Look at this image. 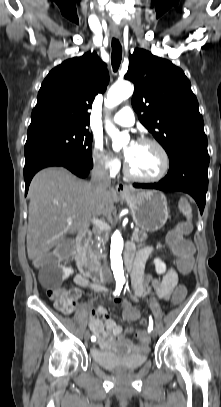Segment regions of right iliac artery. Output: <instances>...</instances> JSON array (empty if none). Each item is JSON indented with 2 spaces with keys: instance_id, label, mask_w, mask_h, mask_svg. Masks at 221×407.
Listing matches in <instances>:
<instances>
[{
  "instance_id": "obj_1",
  "label": "right iliac artery",
  "mask_w": 221,
  "mask_h": 407,
  "mask_svg": "<svg viewBox=\"0 0 221 407\" xmlns=\"http://www.w3.org/2000/svg\"><path fill=\"white\" fill-rule=\"evenodd\" d=\"M122 287H123V283H121V282H117V283H116V289H115V292H114V296L120 294V292H121V290H122ZM91 341L95 342V341H96V337H95V336H91Z\"/></svg>"
}]
</instances>
